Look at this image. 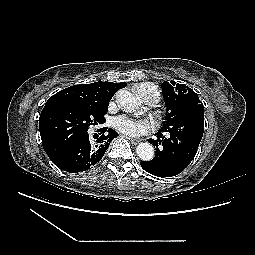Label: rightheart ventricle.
<instances>
[{"mask_svg":"<svg viewBox=\"0 0 255 255\" xmlns=\"http://www.w3.org/2000/svg\"><path fill=\"white\" fill-rule=\"evenodd\" d=\"M148 84H149L151 87H153V88L158 92V94H160L158 88H157L154 84H152V83H148ZM138 86H139V85H138ZM138 86H137V87H138ZM137 87H136V88H137ZM135 91H136V89H135Z\"/></svg>","mask_w":255,"mask_h":255,"instance_id":"obj_1","label":"right heart ventricle"}]
</instances>
